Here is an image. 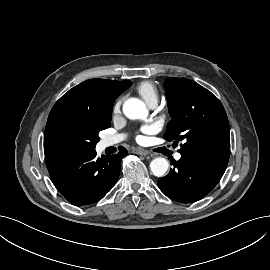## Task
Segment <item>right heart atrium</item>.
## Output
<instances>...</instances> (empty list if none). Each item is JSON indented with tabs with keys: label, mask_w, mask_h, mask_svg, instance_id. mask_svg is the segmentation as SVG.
<instances>
[{
	"label": "right heart atrium",
	"mask_w": 270,
	"mask_h": 270,
	"mask_svg": "<svg viewBox=\"0 0 270 270\" xmlns=\"http://www.w3.org/2000/svg\"><path fill=\"white\" fill-rule=\"evenodd\" d=\"M122 99H118L113 106V114L118 115L121 110Z\"/></svg>",
	"instance_id": "obj_1"
}]
</instances>
